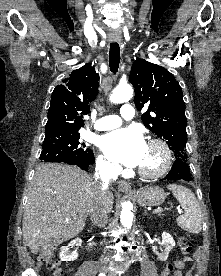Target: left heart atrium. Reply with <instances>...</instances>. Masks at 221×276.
I'll return each instance as SVG.
<instances>
[{"label":"left heart atrium","instance_id":"obj_1","mask_svg":"<svg viewBox=\"0 0 221 276\" xmlns=\"http://www.w3.org/2000/svg\"><path fill=\"white\" fill-rule=\"evenodd\" d=\"M101 146L111 160L128 167L139 166L147 148L141 132L135 128L119 129L105 135Z\"/></svg>","mask_w":221,"mask_h":276}]
</instances>
